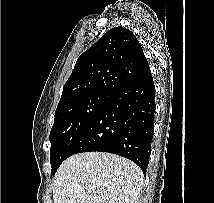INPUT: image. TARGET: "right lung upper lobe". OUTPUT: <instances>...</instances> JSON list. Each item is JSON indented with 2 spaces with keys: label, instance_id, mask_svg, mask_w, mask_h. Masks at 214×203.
<instances>
[{
  "label": "right lung upper lobe",
  "instance_id": "cb5924a9",
  "mask_svg": "<svg viewBox=\"0 0 214 203\" xmlns=\"http://www.w3.org/2000/svg\"><path fill=\"white\" fill-rule=\"evenodd\" d=\"M149 73L135 35L122 26L114 27L78 58L58 106L92 93L112 94Z\"/></svg>",
  "mask_w": 214,
  "mask_h": 203
}]
</instances>
